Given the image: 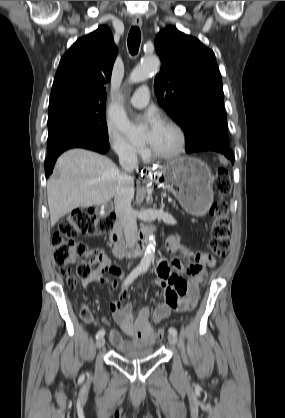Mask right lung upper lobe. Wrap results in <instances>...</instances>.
I'll use <instances>...</instances> for the list:
<instances>
[{
  "mask_svg": "<svg viewBox=\"0 0 285 418\" xmlns=\"http://www.w3.org/2000/svg\"><path fill=\"white\" fill-rule=\"evenodd\" d=\"M116 55L111 30L106 26L78 39L60 60L49 104L104 103L105 85L110 81Z\"/></svg>",
  "mask_w": 285,
  "mask_h": 418,
  "instance_id": "obj_1",
  "label": "right lung upper lobe"
}]
</instances>
